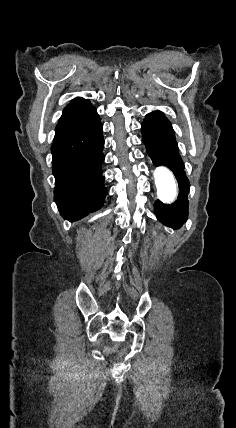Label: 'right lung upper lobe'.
Instances as JSON below:
<instances>
[{
    "instance_id": "obj_1",
    "label": "right lung upper lobe",
    "mask_w": 236,
    "mask_h": 428,
    "mask_svg": "<svg viewBox=\"0 0 236 428\" xmlns=\"http://www.w3.org/2000/svg\"><path fill=\"white\" fill-rule=\"evenodd\" d=\"M87 105H90V102L88 100L83 98H75L65 109L83 107Z\"/></svg>"
}]
</instances>
